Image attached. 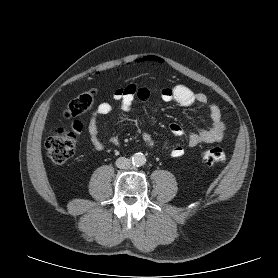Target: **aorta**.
Returning <instances> with one entry per match:
<instances>
[{
	"label": "aorta",
	"instance_id": "aorta-1",
	"mask_svg": "<svg viewBox=\"0 0 278 278\" xmlns=\"http://www.w3.org/2000/svg\"><path fill=\"white\" fill-rule=\"evenodd\" d=\"M131 162L134 166H143L146 163V157L143 153H134L131 156Z\"/></svg>",
	"mask_w": 278,
	"mask_h": 278
}]
</instances>
